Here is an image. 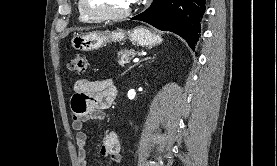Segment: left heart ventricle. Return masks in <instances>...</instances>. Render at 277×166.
<instances>
[{
    "label": "left heart ventricle",
    "instance_id": "obj_1",
    "mask_svg": "<svg viewBox=\"0 0 277 166\" xmlns=\"http://www.w3.org/2000/svg\"><path fill=\"white\" fill-rule=\"evenodd\" d=\"M87 7L98 13L117 14L126 11L135 0H85Z\"/></svg>",
    "mask_w": 277,
    "mask_h": 166
}]
</instances>
